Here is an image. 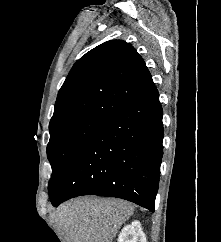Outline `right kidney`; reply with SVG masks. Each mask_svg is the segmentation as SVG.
Segmentation results:
<instances>
[{"label":"right kidney","mask_w":221,"mask_h":242,"mask_svg":"<svg viewBox=\"0 0 221 242\" xmlns=\"http://www.w3.org/2000/svg\"><path fill=\"white\" fill-rule=\"evenodd\" d=\"M143 231L139 221L125 226L118 235V242H145L142 241Z\"/></svg>","instance_id":"1"}]
</instances>
